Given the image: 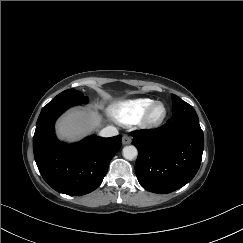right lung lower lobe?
I'll return each instance as SVG.
<instances>
[{
  "instance_id": "98d812e1",
  "label": "right lung lower lobe",
  "mask_w": 243,
  "mask_h": 243,
  "mask_svg": "<svg viewBox=\"0 0 243 243\" xmlns=\"http://www.w3.org/2000/svg\"><path fill=\"white\" fill-rule=\"evenodd\" d=\"M71 106L55 103L42 109L33 151L43 179L54 190L85 195L102 183L112 157L121 147V135L110 138L92 135L75 144L60 142L54 133V123Z\"/></svg>"
}]
</instances>
